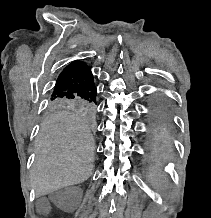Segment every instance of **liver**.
<instances>
[{
  "label": "liver",
  "instance_id": "6515ba94",
  "mask_svg": "<svg viewBox=\"0 0 211 218\" xmlns=\"http://www.w3.org/2000/svg\"><path fill=\"white\" fill-rule=\"evenodd\" d=\"M37 158L30 176L37 198L65 186L81 184L92 174L94 140L72 112H55L42 124Z\"/></svg>",
  "mask_w": 211,
  "mask_h": 218
}]
</instances>
